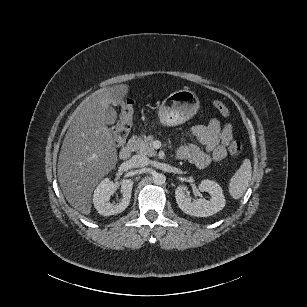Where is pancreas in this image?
<instances>
[{
	"mask_svg": "<svg viewBox=\"0 0 307 307\" xmlns=\"http://www.w3.org/2000/svg\"><path fill=\"white\" fill-rule=\"evenodd\" d=\"M153 137L140 136L136 139L137 144L134 150L147 156H153L157 154L156 149L153 147Z\"/></svg>",
	"mask_w": 307,
	"mask_h": 307,
	"instance_id": "1",
	"label": "pancreas"
}]
</instances>
